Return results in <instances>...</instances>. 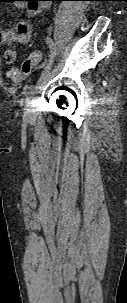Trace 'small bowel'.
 Returning a JSON list of instances; mask_svg holds the SVG:
<instances>
[{
	"label": "small bowel",
	"instance_id": "c3829d8e",
	"mask_svg": "<svg viewBox=\"0 0 127 303\" xmlns=\"http://www.w3.org/2000/svg\"><path fill=\"white\" fill-rule=\"evenodd\" d=\"M40 1L48 0H27L26 14L32 17L37 13L45 11L49 5ZM32 27L28 20H22L16 24L13 29L4 30L0 26V44H7L9 48L5 50L4 57L7 63L11 64L16 59V53L13 49L15 46L25 45L29 42L31 37Z\"/></svg>",
	"mask_w": 127,
	"mask_h": 303
}]
</instances>
